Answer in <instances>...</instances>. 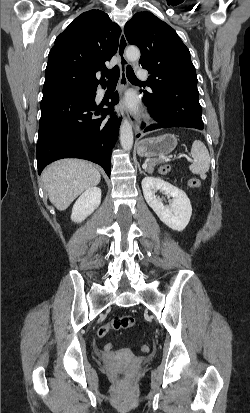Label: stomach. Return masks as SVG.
Segmentation results:
<instances>
[{
	"mask_svg": "<svg viewBox=\"0 0 250 413\" xmlns=\"http://www.w3.org/2000/svg\"><path fill=\"white\" fill-rule=\"evenodd\" d=\"M177 141V137L173 134L146 138L139 142L137 152L139 156L142 157H162L171 153L176 148Z\"/></svg>",
	"mask_w": 250,
	"mask_h": 413,
	"instance_id": "obj_1",
	"label": "stomach"
}]
</instances>
